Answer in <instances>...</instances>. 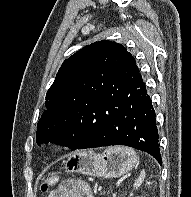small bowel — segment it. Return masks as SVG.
<instances>
[{"instance_id": "1", "label": "small bowel", "mask_w": 191, "mask_h": 197, "mask_svg": "<svg viewBox=\"0 0 191 197\" xmlns=\"http://www.w3.org/2000/svg\"><path fill=\"white\" fill-rule=\"evenodd\" d=\"M49 197H93L89 187L84 183L67 182Z\"/></svg>"}]
</instances>
